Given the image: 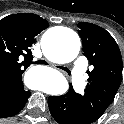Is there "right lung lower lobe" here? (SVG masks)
<instances>
[{"label": "right lung lower lobe", "mask_w": 124, "mask_h": 124, "mask_svg": "<svg viewBox=\"0 0 124 124\" xmlns=\"http://www.w3.org/2000/svg\"><path fill=\"white\" fill-rule=\"evenodd\" d=\"M30 96L22 85L12 86L0 90V118L10 117L23 109Z\"/></svg>", "instance_id": "1"}]
</instances>
